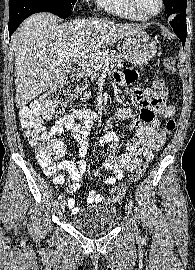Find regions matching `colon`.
I'll list each match as a JSON object with an SVG mask.
<instances>
[{
    "label": "colon",
    "instance_id": "1",
    "mask_svg": "<svg viewBox=\"0 0 195 270\" xmlns=\"http://www.w3.org/2000/svg\"><path fill=\"white\" fill-rule=\"evenodd\" d=\"M174 58H167L163 62V66L174 71ZM85 82L79 77L66 80L47 93L43 94L39 99L32 102L29 106L24 107L20 112V125L24 136L36 153L39 163L43 166L46 173L54 174L57 170L56 162L64 152V146L60 141L53 140L49 132L43 127V121L52 117L61 116L66 108L77 97ZM153 90L158 100H166L168 91L166 84L162 80L154 82ZM176 128V121L170 118L166 121L159 139L164 142L166 138L173 133ZM146 170V163L139 165L133 174L131 181L136 182L141 179ZM65 178L62 175L56 177V182L64 183ZM129 187L128 183H122L117 186V193L123 194Z\"/></svg>",
    "mask_w": 195,
    "mask_h": 270
}]
</instances>
